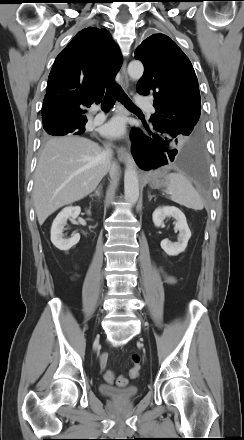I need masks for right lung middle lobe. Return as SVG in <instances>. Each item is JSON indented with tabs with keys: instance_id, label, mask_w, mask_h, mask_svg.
Listing matches in <instances>:
<instances>
[{
	"instance_id": "1",
	"label": "right lung middle lobe",
	"mask_w": 244,
	"mask_h": 440,
	"mask_svg": "<svg viewBox=\"0 0 244 440\" xmlns=\"http://www.w3.org/2000/svg\"><path fill=\"white\" fill-rule=\"evenodd\" d=\"M70 125L69 124H52L49 127H45L44 126V130H45V136L49 137V136H63V135H67L68 133H74L71 131H68V127ZM76 135V133H74Z\"/></svg>"
}]
</instances>
